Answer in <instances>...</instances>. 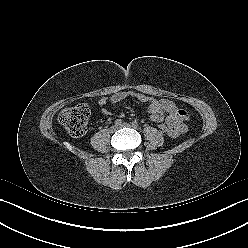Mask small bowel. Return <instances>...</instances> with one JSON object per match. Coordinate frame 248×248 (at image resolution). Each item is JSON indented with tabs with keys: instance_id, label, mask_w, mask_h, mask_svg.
Instances as JSON below:
<instances>
[{
	"instance_id": "obj_1",
	"label": "small bowel",
	"mask_w": 248,
	"mask_h": 248,
	"mask_svg": "<svg viewBox=\"0 0 248 248\" xmlns=\"http://www.w3.org/2000/svg\"><path fill=\"white\" fill-rule=\"evenodd\" d=\"M127 98H135L147 103L151 120L155 123H161L165 120L170 128V136L176 137L186 131L185 121L189 118L187 111L178 108L173 101L168 99H155L140 92L127 90L117 91L109 97H102L98 103L102 113L109 114L106 108L108 104H116ZM165 115L167 116L165 117Z\"/></svg>"
}]
</instances>
